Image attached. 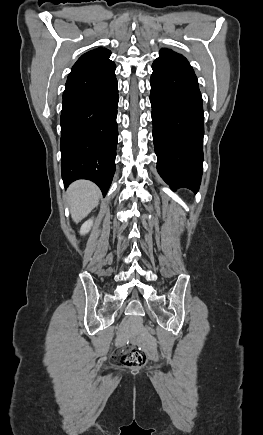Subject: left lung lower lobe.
<instances>
[{"instance_id":"obj_1","label":"left lung lower lobe","mask_w":263,"mask_h":435,"mask_svg":"<svg viewBox=\"0 0 263 435\" xmlns=\"http://www.w3.org/2000/svg\"><path fill=\"white\" fill-rule=\"evenodd\" d=\"M150 101L157 169L172 190H199L202 177L204 115L193 71L156 59Z\"/></svg>"}]
</instances>
